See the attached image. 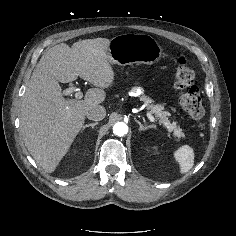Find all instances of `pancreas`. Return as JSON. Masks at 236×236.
Instances as JSON below:
<instances>
[{
	"mask_svg": "<svg viewBox=\"0 0 236 236\" xmlns=\"http://www.w3.org/2000/svg\"><path fill=\"white\" fill-rule=\"evenodd\" d=\"M133 90H136V88H133ZM140 99L147 104V109L150 111V113L154 114L158 118L160 125L164 126L169 133H173V136L177 138L176 140L184 137V133L177 123L170 122V113L164 111V107L162 105L153 104L152 99L144 95L141 96Z\"/></svg>",
	"mask_w": 236,
	"mask_h": 236,
	"instance_id": "1",
	"label": "pancreas"
}]
</instances>
